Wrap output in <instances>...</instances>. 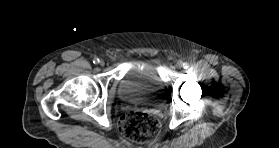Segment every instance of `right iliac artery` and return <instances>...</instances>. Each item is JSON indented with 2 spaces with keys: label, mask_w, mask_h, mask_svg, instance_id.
Instances as JSON below:
<instances>
[{
  "label": "right iliac artery",
  "mask_w": 279,
  "mask_h": 148,
  "mask_svg": "<svg viewBox=\"0 0 279 148\" xmlns=\"http://www.w3.org/2000/svg\"><path fill=\"white\" fill-rule=\"evenodd\" d=\"M100 62V60L98 58H94L93 63L94 64H98Z\"/></svg>",
  "instance_id": "82829eb1"
}]
</instances>
